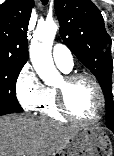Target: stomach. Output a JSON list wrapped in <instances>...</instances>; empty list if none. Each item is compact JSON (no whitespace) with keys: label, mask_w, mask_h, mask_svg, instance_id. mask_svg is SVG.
<instances>
[{"label":"stomach","mask_w":114,"mask_h":156,"mask_svg":"<svg viewBox=\"0 0 114 156\" xmlns=\"http://www.w3.org/2000/svg\"><path fill=\"white\" fill-rule=\"evenodd\" d=\"M54 156H112V145L102 129L80 128Z\"/></svg>","instance_id":"stomach-1"}]
</instances>
